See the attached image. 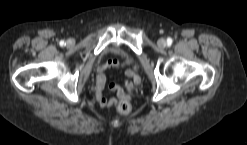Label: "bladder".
I'll return each instance as SVG.
<instances>
[{
  "instance_id": "obj_1",
  "label": "bladder",
  "mask_w": 247,
  "mask_h": 145,
  "mask_svg": "<svg viewBox=\"0 0 247 145\" xmlns=\"http://www.w3.org/2000/svg\"><path fill=\"white\" fill-rule=\"evenodd\" d=\"M114 52H120V49L116 48L113 50Z\"/></svg>"
}]
</instances>
